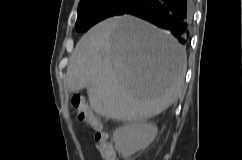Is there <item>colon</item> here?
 Segmentation results:
<instances>
[{"label": "colon", "mask_w": 242, "mask_h": 160, "mask_svg": "<svg viewBox=\"0 0 242 160\" xmlns=\"http://www.w3.org/2000/svg\"><path fill=\"white\" fill-rule=\"evenodd\" d=\"M72 105L77 118L95 131L94 142L102 160H116L113 147L108 142V135L103 130L102 123L92 112L84 98L80 95H75L72 98Z\"/></svg>", "instance_id": "colon-1"}]
</instances>
